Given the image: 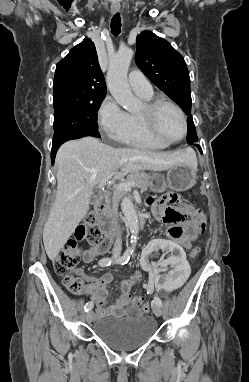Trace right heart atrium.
I'll return each instance as SVG.
<instances>
[{
	"mask_svg": "<svg viewBox=\"0 0 249 382\" xmlns=\"http://www.w3.org/2000/svg\"><path fill=\"white\" fill-rule=\"evenodd\" d=\"M97 122L100 132L107 138L119 141L129 131V114L117 101L107 96L97 111Z\"/></svg>",
	"mask_w": 249,
	"mask_h": 382,
	"instance_id": "right-heart-atrium-1",
	"label": "right heart atrium"
}]
</instances>
